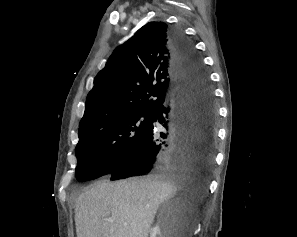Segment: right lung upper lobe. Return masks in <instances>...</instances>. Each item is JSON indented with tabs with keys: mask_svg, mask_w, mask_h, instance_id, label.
Wrapping results in <instances>:
<instances>
[{
	"mask_svg": "<svg viewBox=\"0 0 297 237\" xmlns=\"http://www.w3.org/2000/svg\"><path fill=\"white\" fill-rule=\"evenodd\" d=\"M171 29L149 22L115 49L87 95L79 134L98 121L136 112H154L178 85L172 71Z\"/></svg>",
	"mask_w": 297,
	"mask_h": 237,
	"instance_id": "cb5924a9",
	"label": "right lung upper lobe"
}]
</instances>
